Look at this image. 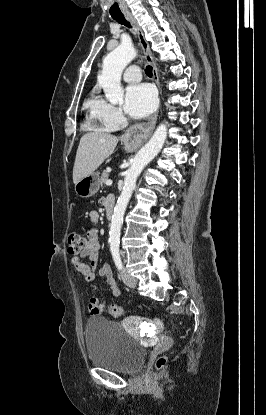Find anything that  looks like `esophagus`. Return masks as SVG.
Here are the masks:
<instances>
[{
  "mask_svg": "<svg viewBox=\"0 0 266 415\" xmlns=\"http://www.w3.org/2000/svg\"><path fill=\"white\" fill-rule=\"evenodd\" d=\"M126 18L133 24L139 43L143 49L145 59L148 64L152 66V73H153V80L156 83L158 89L160 90V83H159V76H158V69L153 60L152 52L150 50V46L148 41L145 38V35L137 23L136 19L132 16V14H126ZM158 116V110L154 112V114L149 118L147 123L136 124L130 127L124 134L123 138L133 146L141 145L144 141H146L150 135L152 134Z\"/></svg>",
  "mask_w": 266,
  "mask_h": 415,
  "instance_id": "esophagus-1",
  "label": "esophagus"
}]
</instances>
